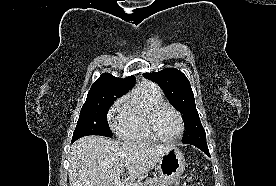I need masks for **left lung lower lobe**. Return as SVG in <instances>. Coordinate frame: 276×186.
<instances>
[{"label": "left lung lower lobe", "mask_w": 276, "mask_h": 186, "mask_svg": "<svg viewBox=\"0 0 276 186\" xmlns=\"http://www.w3.org/2000/svg\"><path fill=\"white\" fill-rule=\"evenodd\" d=\"M186 144L194 145L198 147L200 150H202L206 155L210 156L206 140L191 141V142H187Z\"/></svg>", "instance_id": "1"}]
</instances>
